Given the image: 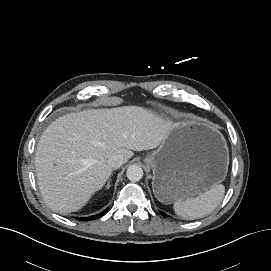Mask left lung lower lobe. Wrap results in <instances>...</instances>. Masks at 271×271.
<instances>
[{"instance_id": "obj_1", "label": "left lung lower lobe", "mask_w": 271, "mask_h": 271, "mask_svg": "<svg viewBox=\"0 0 271 271\" xmlns=\"http://www.w3.org/2000/svg\"><path fill=\"white\" fill-rule=\"evenodd\" d=\"M162 215L166 216L164 213H161Z\"/></svg>"}]
</instances>
